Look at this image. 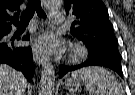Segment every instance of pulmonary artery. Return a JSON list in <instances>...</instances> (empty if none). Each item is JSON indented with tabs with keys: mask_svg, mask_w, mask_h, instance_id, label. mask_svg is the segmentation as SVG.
Instances as JSON below:
<instances>
[{
	"mask_svg": "<svg viewBox=\"0 0 135 95\" xmlns=\"http://www.w3.org/2000/svg\"><path fill=\"white\" fill-rule=\"evenodd\" d=\"M63 21V13L59 10H53L50 13V22L53 24H60Z\"/></svg>",
	"mask_w": 135,
	"mask_h": 95,
	"instance_id": "1",
	"label": "pulmonary artery"
}]
</instances>
